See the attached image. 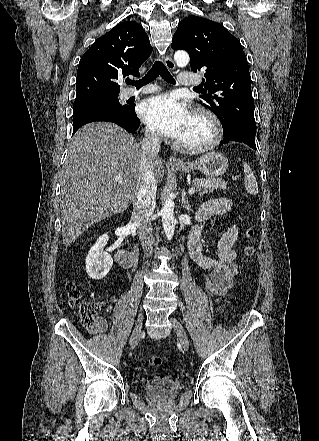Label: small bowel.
Masks as SVG:
<instances>
[{
  "label": "small bowel",
  "instance_id": "1",
  "mask_svg": "<svg viewBox=\"0 0 319 441\" xmlns=\"http://www.w3.org/2000/svg\"><path fill=\"white\" fill-rule=\"evenodd\" d=\"M231 206V199L224 197L205 202L195 214L196 224L191 229L188 237L189 255L200 268L207 271L206 288L218 301L232 288L233 280L237 274L235 264L237 252L234 249V244L238 238L239 228L234 223L223 233L217 244L216 257L207 256L203 253L201 235L205 223L209 219L226 213ZM219 309H222L221 305ZM111 310L112 305L108 304L106 312L110 313ZM88 330L93 335L104 334L108 330V322L104 317H98Z\"/></svg>",
  "mask_w": 319,
  "mask_h": 441
}]
</instances>
